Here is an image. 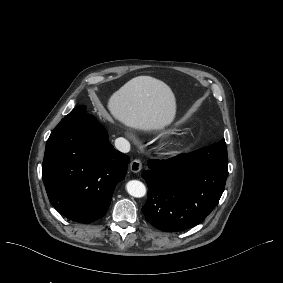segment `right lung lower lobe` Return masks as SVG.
<instances>
[{
    "mask_svg": "<svg viewBox=\"0 0 283 283\" xmlns=\"http://www.w3.org/2000/svg\"><path fill=\"white\" fill-rule=\"evenodd\" d=\"M128 162L129 157L114 149L94 116L63 118L48 138L42 164L48 198L67 218L94 222L110 206Z\"/></svg>",
    "mask_w": 283,
    "mask_h": 283,
    "instance_id": "98d812e1",
    "label": "right lung lower lobe"
}]
</instances>
